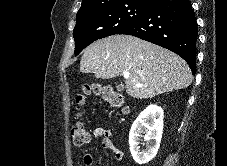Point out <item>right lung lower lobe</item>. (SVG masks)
<instances>
[{
    "label": "right lung lower lobe",
    "mask_w": 227,
    "mask_h": 166,
    "mask_svg": "<svg viewBox=\"0 0 227 166\" xmlns=\"http://www.w3.org/2000/svg\"><path fill=\"white\" fill-rule=\"evenodd\" d=\"M118 34L136 36L175 52L195 73L198 29L188 0H157L142 18Z\"/></svg>",
    "instance_id": "obj_1"
}]
</instances>
